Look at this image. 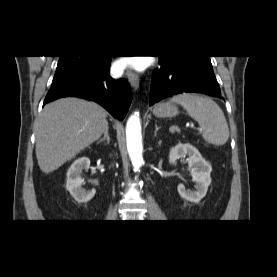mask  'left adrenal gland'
I'll list each match as a JSON object with an SVG mask.
<instances>
[{
	"label": "left adrenal gland",
	"instance_id": "1",
	"mask_svg": "<svg viewBox=\"0 0 277 277\" xmlns=\"http://www.w3.org/2000/svg\"><path fill=\"white\" fill-rule=\"evenodd\" d=\"M160 129V127H158L157 125H155V131H154V136L157 135V131Z\"/></svg>",
	"mask_w": 277,
	"mask_h": 277
}]
</instances>
